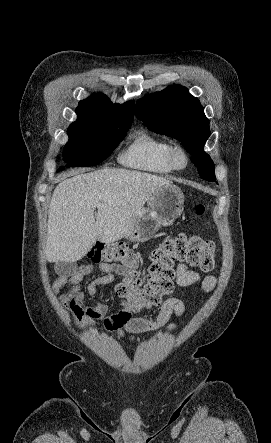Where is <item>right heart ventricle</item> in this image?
<instances>
[{
  "instance_id": "obj_1",
  "label": "right heart ventricle",
  "mask_w": 271,
  "mask_h": 443,
  "mask_svg": "<svg viewBox=\"0 0 271 443\" xmlns=\"http://www.w3.org/2000/svg\"><path fill=\"white\" fill-rule=\"evenodd\" d=\"M171 145L170 140L139 129L132 134L119 156V161L127 167L156 174H170L175 171L168 158Z\"/></svg>"
}]
</instances>
